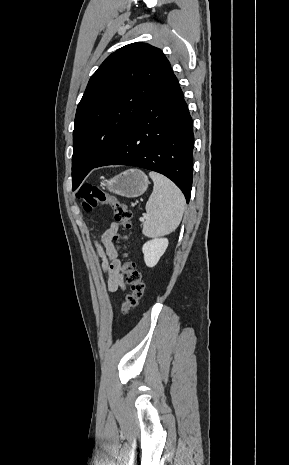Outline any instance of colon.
Instances as JSON below:
<instances>
[{
	"mask_svg": "<svg viewBox=\"0 0 289 465\" xmlns=\"http://www.w3.org/2000/svg\"><path fill=\"white\" fill-rule=\"evenodd\" d=\"M76 195L82 201V206L87 212L101 204L110 205L113 208L115 220L122 229V232L114 234L113 240L120 252L122 261L120 270L131 289L121 306V313L126 316L131 309L138 306L145 288L141 273L136 263L129 259L127 251L125 231L131 228L132 212L126 204L96 185L85 184L77 190Z\"/></svg>",
	"mask_w": 289,
	"mask_h": 465,
	"instance_id": "obj_1",
	"label": "colon"
}]
</instances>
